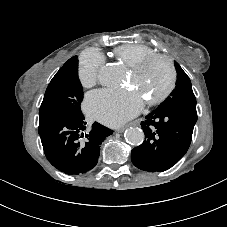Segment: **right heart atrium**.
<instances>
[{"mask_svg":"<svg viewBox=\"0 0 227 227\" xmlns=\"http://www.w3.org/2000/svg\"><path fill=\"white\" fill-rule=\"evenodd\" d=\"M104 62L103 55L95 49H88L83 53L79 63L78 77L84 87H92L98 82Z\"/></svg>","mask_w":227,"mask_h":227,"instance_id":"d8ad5b80","label":"right heart atrium"}]
</instances>
